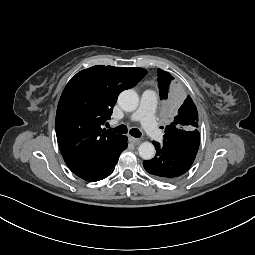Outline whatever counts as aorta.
I'll return each instance as SVG.
<instances>
[{"label":"aorta","instance_id":"1","mask_svg":"<svg viewBox=\"0 0 255 255\" xmlns=\"http://www.w3.org/2000/svg\"><path fill=\"white\" fill-rule=\"evenodd\" d=\"M118 104L124 111L132 112L138 107L139 96L132 89L124 90L118 97ZM138 152L142 159L150 160L155 156V147L150 142H143L138 147Z\"/></svg>","mask_w":255,"mask_h":255}]
</instances>
